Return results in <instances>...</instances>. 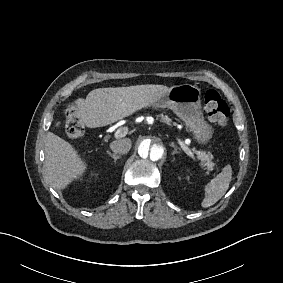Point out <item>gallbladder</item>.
<instances>
[{"label": "gallbladder", "instance_id": "gallbladder-1", "mask_svg": "<svg viewBox=\"0 0 283 283\" xmlns=\"http://www.w3.org/2000/svg\"><path fill=\"white\" fill-rule=\"evenodd\" d=\"M60 123L58 122V123H56V126H58Z\"/></svg>", "mask_w": 283, "mask_h": 283}]
</instances>
